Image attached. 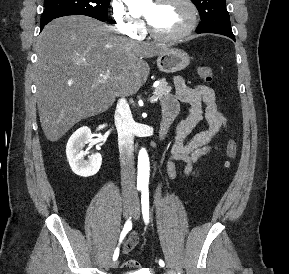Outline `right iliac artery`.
I'll use <instances>...</instances> for the list:
<instances>
[{"label": "right iliac artery", "mask_w": 289, "mask_h": 274, "mask_svg": "<svg viewBox=\"0 0 289 274\" xmlns=\"http://www.w3.org/2000/svg\"><path fill=\"white\" fill-rule=\"evenodd\" d=\"M132 229V222H131V217L126 221L124 228L121 232L120 238H119V245L127 235V233ZM119 256V246L115 249L114 254H113V261H116Z\"/></svg>", "instance_id": "82829eb1"}]
</instances>
